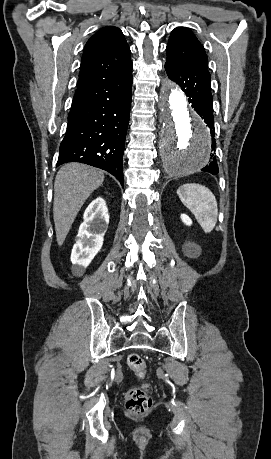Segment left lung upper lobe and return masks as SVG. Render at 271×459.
Wrapping results in <instances>:
<instances>
[{
  "label": "left lung upper lobe",
  "mask_w": 271,
  "mask_h": 459,
  "mask_svg": "<svg viewBox=\"0 0 271 459\" xmlns=\"http://www.w3.org/2000/svg\"><path fill=\"white\" fill-rule=\"evenodd\" d=\"M166 63L191 70L208 71V58L203 45L185 27L175 28L166 47Z\"/></svg>",
  "instance_id": "5c2ea615"
}]
</instances>
